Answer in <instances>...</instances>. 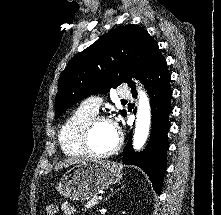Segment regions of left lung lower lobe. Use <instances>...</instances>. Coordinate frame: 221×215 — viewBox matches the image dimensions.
<instances>
[{
	"label": "left lung lower lobe",
	"instance_id": "obj_1",
	"mask_svg": "<svg viewBox=\"0 0 221 215\" xmlns=\"http://www.w3.org/2000/svg\"><path fill=\"white\" fill-rule=\"evenodd\" d=\"M170 80L171 76L164 58L143 76L141 82L149 94L152 111L151 138L145 150L140 153L133 151L131 140H129L122 158L124 164L141 167L148 174L158 194L161 193L166 169V151L169 148L167 132L170 124L168 116L172 111ZM131 92L136 98V89H132Z\"/></svg>",
	"mask_w": 221,
	"mask_h": 215
}]
</instances>
